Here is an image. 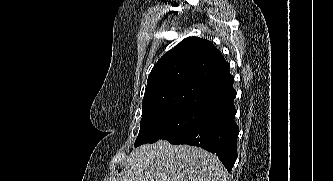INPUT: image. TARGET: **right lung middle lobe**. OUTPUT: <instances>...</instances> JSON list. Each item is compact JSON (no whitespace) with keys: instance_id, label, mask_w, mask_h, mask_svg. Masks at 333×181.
<instances>
[{"instance_id":"right-lung-middle-lobe-1","label":"right lung middle lobe","mask_w":333,"mask_h":181,"mask_svg":"<svg viewBox=\"0 0 333 181\" xmlns=\"http://www.w3.org/2000/svg\"><path fill=\"white\" fill-rule=\"evenodd\" d=\"M205 110L190 105H165L143 110L135 147L178 137L196 123Z\"/></svg>"}]
</instances>
